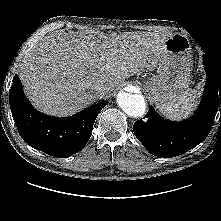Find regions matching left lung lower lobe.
I'll list each match as a JSON object with an SVG mask.
<instances>
[{"label": "left lung lower lobe", "instance_id": "obj_1", "mask_svg": "<svg viewBox=\"0 0 221 221\" xmlns=\"http://www.w3.org/2000/svg\"><path fill=\"white\" fill-rule=\"evenodd\" d=\"M207 78L202 101L195 114L183 121L172 122L161 118L149 107L144 119L134 123L133 131L143 146L153 155L170 158L181 155L200 144L209 134L221 104V79L204 56Z\"/></svg>", "mask_w": 221, "mask_h": 221}]
</instances>
